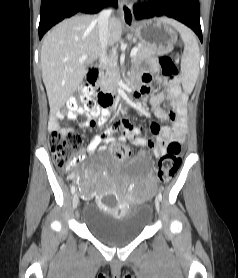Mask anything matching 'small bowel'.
<instances>
[{"label":"small bowel","instance_id":"obj_1","mask_svg":"<svg viewBox=\"0 0 238 278\" xmlns=\"http://www.w3.org/2000/svg\"><path fill=\"white\" fill-rule=\"evenodd\" d=\"M152 71H156L157 62L151 61ZM152 73L145 72L140 76L134 78L133 84H141L139 94L148 93L151 90ZM167 92L166 94L160 92L155 94L150 99V104L154 114L161 120L173 122L172 128L160 127L153 123L150 126V130L156 138H147L145 135L144 126H136L130 122L127 116H123L119 120L115 121L108 129L102 132L100 135H94L90 139L89 144L85 149L87 155H93L98 149H104L103 144H109L116 139L125 142L128 141L133 145L140 147H148L151 149L154 156L159 157L164 154L165 146L169 142L183 143L185 141V135L187 132L186 123V96L182 93L177 81H166ZM164 100H168L172 109L167 111L160 106ZM82 110L70 111L68 117L72 120L76 119L78 114H81ZM110 111L107 107H97L95 111L87 113V120L81 123L79 126L81 129H96L102 127L108 120ZM63 115L59 112L54 113L49 120V129L66 131L68 129L60 127V120ZM118 137H116V135ZM85 157L84 153L79 155V159L82 160ZM73 176H71V179ZM147 180L152 182L151 176H147Z\"/></svg>","mask_w":238,"mask_h":278}]
</instances>
